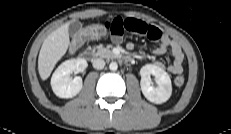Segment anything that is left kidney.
<instances>
[{"label":"left kidney","mask_w":231,"mask_h":134,"mask_svg":"<svg viewBox=\"0 0 231 134\" xmlns=\"http://www.w3.org/2000/svg\"><path fill=\"white\" fill-rule=\"evenodd\" d=\"M141 90L147 100L155 104L166 102L172 94V84L168 73L155 64H146L140 70ZM154 76L157 86L151 83Z\"/></svg>","instance_id":"5707ae66"}]
</instances>
